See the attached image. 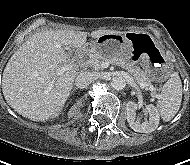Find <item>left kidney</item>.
I'll return each instance as SVG.
<instances>
[{
    "instance_id": "1",
    "label": "left kidney",
    "mask_w": 190,
    "mask_h": 165,
    "mask_svg": "<svg viewBox=\"0 0 190 165\" xmlns=\"http://www.w3.org/2000/svg\"><path fill=\"white\" fill-rule=\"evenodd\" d=\"M141 107V104L134 102H128L126 104V114L129 126L135 131L140 133H150L154 131L159 124V113L153 105L146 106V112L149 114V120L140 122L136 119V110Z\"/></svg>"
}]
</instances>
